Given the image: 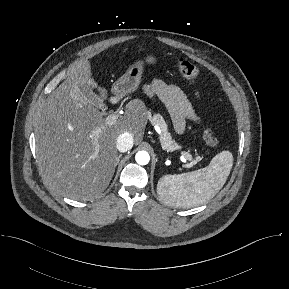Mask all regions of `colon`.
Returning a JSON list of instances; mask_svg holds the SVG:
<instances>
[{
    "label": "colon",
    "mask_w": 289,
    "mask_h": 289,
    "mask_svg": "<svg viewBox=\"0 0 289 289\" xmlns=\"http://www.w3.org/2000/svg\"><path fill=\"white\" fill-rule=\"evenodd\" d=\"M177 67L180 75L189 81L190 83H195L198 77L197 67L188 59L180 58L177 62ZM202 137L207 145L212 148H217L220 145V141L215 137L211 128H206Z\"/></svg>",
    "instance_id": "5ec220e1"
}]
</instances>
